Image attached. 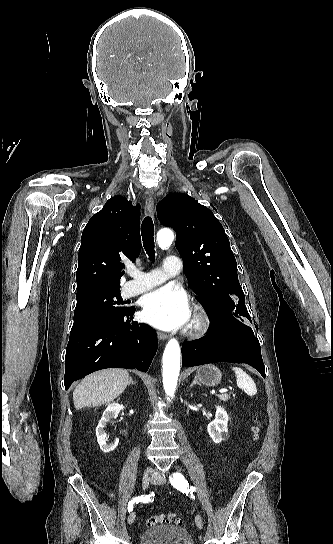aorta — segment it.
<instances>
[{"instance_id": "762f6f07", "label": "aorta", "mask_w": 333, "mask_h": 544, "mask_svg": "<svg viewBox=\"0 0 333 544\" xmlns=\"http://www.w3.org/2000/svg\"><path fill=\"white\" fill-rule=\"evenodd\" d=\"M174 239L173 232L170 229H162L157 234L158 244L161 248L169 247ZM181 351L176 339H171L167 343L163 353V386L165 393L173 397L177 386L180 371Z\"/></svg>"}]
</instances>
